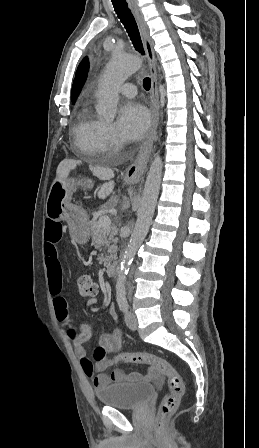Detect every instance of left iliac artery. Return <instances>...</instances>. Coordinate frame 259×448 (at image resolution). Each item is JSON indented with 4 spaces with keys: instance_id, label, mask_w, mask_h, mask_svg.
<instances>
[{
    "instance_id": "obj_1",
    "label": "left iliac artery",
    "mask_w": 259,
    "mask_h": 448,
    "mask_svg": "<svg viewBox=\"0 0 259 448\" xmlns=\"http://www.w3.org/2000/svg\"><path fill=\"white\" fill-rule=\"evenodd\" d=\"M116 297L120 310L126 312L128 310V302L124 283H118L116 285Z\"/></svg>"
}]
</instances>
